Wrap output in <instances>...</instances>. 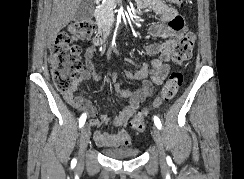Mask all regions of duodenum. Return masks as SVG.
Returning <instances> with one entry per match:
<instances>
[{
  "instance_id": "duodenum-1",
  "label": "duodenum",
  "mask_w": 244,
  "mask_h": 179,
  "mask_svg": "<svg viewBox=\"0 0 244 179\" xmlns=\"http://www.w3.org/2000/svg\"><path fill=\"white\" fill-rule=\"evenodd\" d=\"M95 3H103V0H95ZM124 18L118 16L115 23L109 26L102 24L99 31L94 37V42L101 45L112 38V36L118 33L123 26Z\"/></svg>"
}]
</instances>
